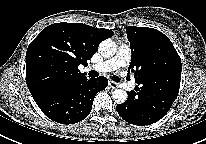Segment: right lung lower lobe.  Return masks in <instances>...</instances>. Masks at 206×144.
<instances>
[{
    "instance_id": "right-lung-lower-lobe-1",
    "label": "right lung lower lobe",
    "mask_w": 206,
    "mask_h": 144,
    "mask_svg": "<svg viewBox=\"0 0 206 144\" xmlns=\"http://www.w3.org/2000/svg\"><path fill=\"white\" fill-rule=\"evenodd\" d=\"M107 85L108 80L103 76L85 79L72 86L50 90L34 100L51 120L74 124L90 114L96 93L104 90Z\"/></svg>"
}]
</instances>
